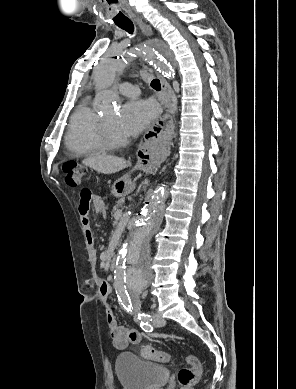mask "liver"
Listing matches in <instances>:
<instances>
[{
    "label": "liver",
    "instance_id": "obj_1",
    "mask_svg": "<svg viewBox=\"0 0 296 389\" xmlns=\"http://www.w3.org/2000/svg\"><path fill=\"white\" fill-rule=\"evenodd\" d=\"M82 164L103 174L117 173L128 166L123 158L103 154L91 155Z\"/></svg>",
    "mask_w": 296,
    "mask_h": 389
}]
</instances>
